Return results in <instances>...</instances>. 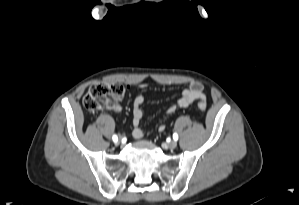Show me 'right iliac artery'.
<instances>
[{
    "label": "right iliac artery",
    "instance_id": "right-iliac-artery-1",
    "mask_svg": "<svg viewBox=\"0 0 299 205\" xmlns=\"http://www.w3.org/2000/svg\"><path fill=\"white\" fill-rule=\"evenodd\" d=\"M112 139H113L114 142L118 141V137L116 135H113Z\"/></svg>",
    "mask_w": 299,
    "mask_h": 205
}]
</instances>
